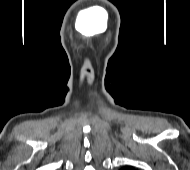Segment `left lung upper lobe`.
<instances>
[{
  "label": "left lung upper lobe",
  "instance_id": "5c2ea615",
  "mask_svg": "<svg viewBox=\"0 0 190 170\" xmlns=\"http://www.w3.org/2000/svg\"><path fill=\"white\" fill-rule=\"evenodd\" d=\"M122 170H134L132 167H125Z\"/></svg>",
  "mask_w": 190,
  "mask_h": 170
}]
</instances>
